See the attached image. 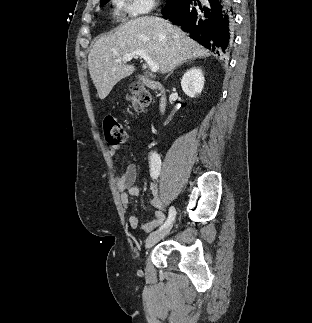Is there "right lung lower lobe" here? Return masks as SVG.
Listing matches in <instances>:
<instances>
[{"mask_svg":"<svg viewBox=\"0 0 312 323\" xmlns=\"http://www.w3.org/2000/svg\"><path fill=\"white\" fill-rule=\"evenodd\" d=\"M234 5L232 0H181L161 13L199 44L223 55L233 41Z\"/></svg>","mask_w":312,"mask_h":323,"instance_id":"obj_1","label":"right lung lower lobe"}]
</instances>
